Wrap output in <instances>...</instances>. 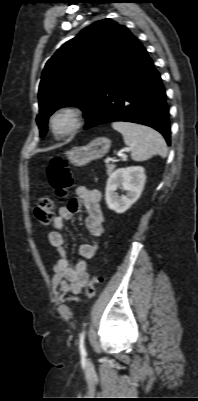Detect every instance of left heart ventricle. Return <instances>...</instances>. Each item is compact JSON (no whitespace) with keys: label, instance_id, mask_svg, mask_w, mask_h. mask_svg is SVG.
I'll return each mask as SVG.
<instances>
[{"label":"left heart ventricle","instance_id":"left-heart-ventricle-1","mask_svg":"<svg viewBox=\"0 0 198 401\" xmlns=\"http://www.w3.org/2000/svg\"><path fill=\"white\" fill-rule=\"evenodd\" d=\"M67 125V123L63 120H60L57 122V127L58 128H64Z\"/></svg>","mask_w":198,"mask_h":401}]
</instances>
